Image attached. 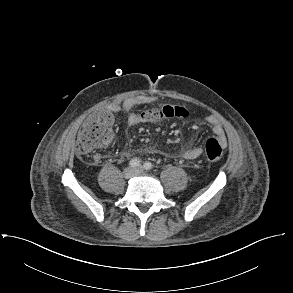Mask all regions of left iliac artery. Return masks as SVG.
Listing matches in <instances>:
<instances>
[{
  "instance_id": "1",
  "label": "left iliac artery",
  "mask_w": 293,
  "mask_h": 293,
  "mask_svg": "<svg viewBox=\"0 0 293 293\" xmlns=\"http://www.w3.org/2000/svg\"><path fill=\"white\" fill-rule=\"evenodd\" d=\"M144 168H145L146 170H151V169H152V164H151L150 162H145V163H144Z\"/></svg>"
}]
</instances>
